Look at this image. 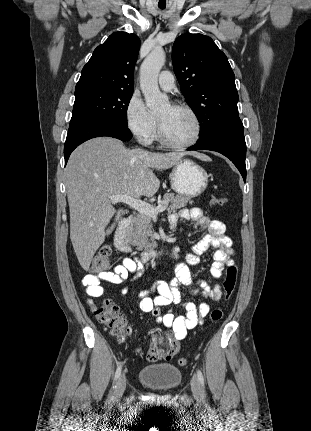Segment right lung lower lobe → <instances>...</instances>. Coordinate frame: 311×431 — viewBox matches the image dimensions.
I'll use <instances>...</instances> for the list:
<instances>
[{
	"mask_svg": "<svg viewBox=\"0 0 311 431\" xmlns=\"http://www.w3.org/2000/svg\"><path fill=\"white\" fill-rule=\"evenodd\" d=\"M109 136L128 141L132 134L127 124H120L105 119H87L69 126L64 145L65 165L72 151L81 143L95 137Z\"/></svg>",
	"mask_w": 311,
	"mask_h": 431,
	"instance_id": "1",
	"label": "right lung lower lobe"
}]
</instances>
